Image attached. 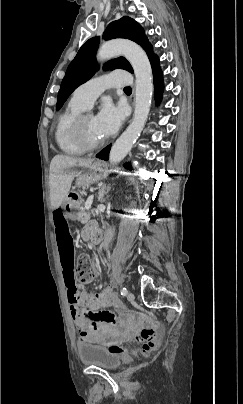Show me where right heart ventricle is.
Wrapping results in <instances>:
<instances>
[{
	"label": "right heart ventricle",
	"mask_w": 243,
	"mask_h": 404,
	"mask_svg": "<svg viewBox=\"0 0 243 404\" xmlns=\"http://www.w3.org/2000/svg\"><path fill=\"white\" fill-rule=\"evenodd\" d=\"M87 109L85 103L79 97L78 88L59 114L54 128V140L59 151L67 156H82L87 149L82 147L74 139L71 133V124L75 118Z\"/></svg>",
	"instance_id": "right-heart-ventricle-1"
}]
</instances>
